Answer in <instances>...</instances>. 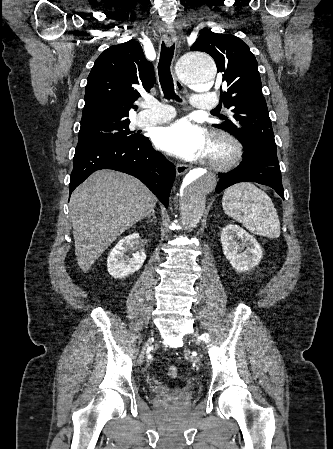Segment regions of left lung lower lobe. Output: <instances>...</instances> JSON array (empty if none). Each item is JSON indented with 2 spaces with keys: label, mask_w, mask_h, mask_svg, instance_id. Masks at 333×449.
<instances>
[{
  "label": "left lung lower lobe",
  "mask_w": 333,
  "mask_h": 449,
  "mask_svg": "<svg viewBox=\"0 0 333 449\" xmlns=\"http://www.w3.org/2000/svg\"><path fill=\"white\" fill-rule=\"evenodd\" d=\"M253 181L273 188L283 199L284 190L281 181L279 162L265 158H247L244 155L241 164L228 173L219 174L216 192L239 182Z\"/></svg>",
  "instance_id": "left-lung-lower-lobe-1"
}]
</instances>
